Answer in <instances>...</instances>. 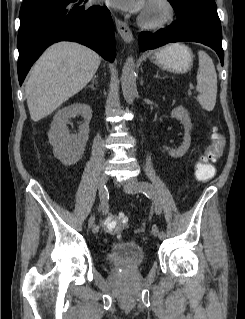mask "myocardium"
Here are the masks:
<instances>
[{
  "instance_id": "f54148a6",
  "label": "myocardium",
  "mask_w": 245,
  "mask_h": 319,
  "mask_svg": "<svg viewBox=\"0 0 245 319\" xmlns=\"http://www.w3.org/2000/svg\"><path fill=\"white\" fill-rule=\"evenodd\" d=\"M150 5L159 6L162 14L158 18H149L143 11L138 20L141 27L147 30H159L174 21L176 11L170 0H148L146 7Z\"/></svg>"
}]
</instances>
